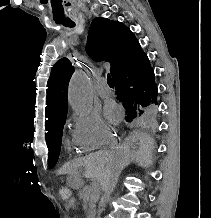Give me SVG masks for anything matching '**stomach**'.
<instances>
[{
    "label": "stomach",
    "mask_w": 211,
    "mask_h": 218,
    "mask_svg": "<svg viewBox=\"0 0 211 218\" xmlns=\"http://www.w3.org/2000/svg\"><path fill=\"white\" fill-rule=\"evenodd\" d=\"M69 186L74 189H79L84 185L83 180L77 174H70L68 177Z\"/></svg>",
    "instance_id": "stomach-1"
}]
</instances>
